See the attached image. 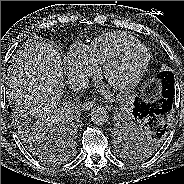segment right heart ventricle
Wrapping results in <instances>:
<instances>
[{
	"mask_svg": "<svg viewBox=\"0 0 184 184\" xmlns=\"http://www.w3.org/2000/svg\"><path fill=\"white\" fill-rule=\"evenodd\" d=\"M136 41L134 37L126 33L110 32L96 38L86 50L94 63L102 65L123 46Z\"/></svg>",
	"mask_w": 184,
	"mask_h": 184,
	"instance_id": "obj_1",
	"label": "right heart ventricle"
}]
</instances>
